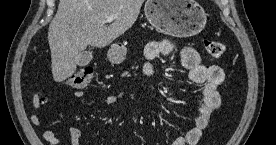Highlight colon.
<instances>
[{
  "mask_svg": "<svg viewBox=\"0 0 276 145\" xmlns=\"http://www.w3.org/2000/svg\"><path fill=\"white\" fill-rule=\"evenodd\" d=\"M204 47L208 55L213 59L221 58L225 52V45L214 39H205ZM92 78L93 68L85 66L71 74L67 79V83L74 88H84L90 84ZM38 97L42 103L46 101L45 94H39Z\"/></svg>",
  "mask_w": 276,
  "mask_h": 145,
  "instance_id": "colon-1",
  "label": "colon"
}]
</instances>
